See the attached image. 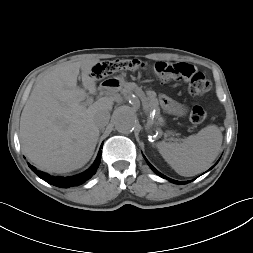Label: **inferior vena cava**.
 <instances>
[{"instance_id":"602c4592","label":"inferior vena cava","mask_w":253,"mask_h":253,"mask_svg":"<svg viewBox=\"0 0 253 253\" xmlns=\"http://www.w3.org/2000/svg\"><path fill=\"white\" fill-rule=\"evenodd\" d=\"M110 119V113L107 111H102L98 113L95 117V123L99 128L105 127Z\"/></svg>"}]
</instances>
